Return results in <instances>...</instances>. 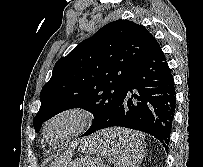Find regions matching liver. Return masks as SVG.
Masks as SVG:
<instances>
[{"instance_id":"obj_1","label":"liver","mask_w":203,"mask_h":167,"mask_svg":"<svg viewBox=\"0 0 203 167\" xmlns=\"http://www.w3.org/2000/svg\"><path fill=\"white\" fill-rule=\"evenodd\" d=\"M140 137H143L141 133L132 130L116 129L114 131H109V134L106 136V138H102L101 140L118 139L127 145L128 148H133L136 146ZM68 164L69 156H63L54 160L50 167H67Z\"/></svg>"}]
</instances>
